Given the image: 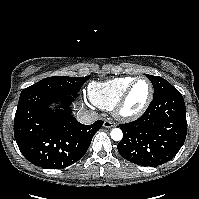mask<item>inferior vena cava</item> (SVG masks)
I'll use <instances>...</instances> for the list:
<instances>
[{
  "mask_svg": "<svg viewBox=\"0 0 199 199\" xmlns=\"http://www.w3.org/2000/svg\"><path fill=\"white\" fill-rule=\"evenodd\" d=\"M77 117L78 121L84 125H90L99 119V115L95 111H85Z\"/></svg>",
  "mask_w": 199,
  "mask_h": 199,
  "instance_id": "1",
  "label": "inferior vena cava"
}]
</instances>
